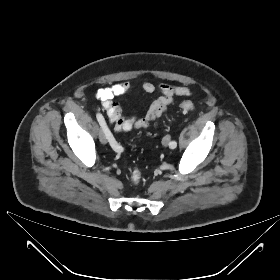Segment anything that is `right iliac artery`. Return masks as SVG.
Listing matches in <instances>:
<instances>
[{
  "label": "right iliac artery",
  "mask_w": 280,
  "mask_h": 280,
  "mask_svg": "<svg viewBox=\"0 0 280 280\" xmlns=\"http://www.w3.org/2000/svg\"><path fill=\"white\" fill-rule=\"evenodd\" d=\"M96 118H97L100 126L102 127V129L106 133L107 139L109 140L111 147L115 151H122L123 150L122 146L117 143V141L115 140V138L111 134L110 130L108 129V127L106 125V122H105L104 117L102 116V114L101 113H97Z\"/></svg>",
  "instance_id": "82829eb1"
}]
</instances>
